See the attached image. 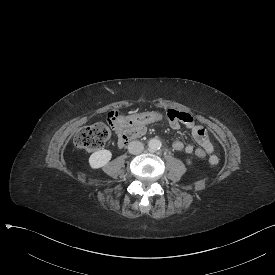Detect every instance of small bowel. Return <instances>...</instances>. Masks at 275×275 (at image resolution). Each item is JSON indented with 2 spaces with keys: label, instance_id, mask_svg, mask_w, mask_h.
Instances as JSON below:
<instances>
[{
  "label": "small bowel",
  "instance_id": "1",
  "mask_svg": "<svg viewBox=\"0 0 275 275\" xmlns=\"http://www.w3.org/2000/svg\"><path fill=\"white\" fill-rule=\"evenodd\" d=\"M169 114V125L173 130H177L181 125H185L192 133L194 139L207 153L210 154V163L216 164L218 158L213 154V144L210 141L206 130L195 123L193 117L183 111L170 109ZM146 132L145 123H133L124 127L115 128V134L120 142H126L129 139H135L143 136ZM174 150H184L186 153L193 152V146L191 144H185L183 141L177 140L171 144Z\"/></svg>",
  "mask_w": 275,
  "mask_h": 275
}]
</instances>
